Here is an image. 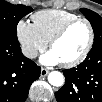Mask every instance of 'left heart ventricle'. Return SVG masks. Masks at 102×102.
<instances>
[{
  "label": "left heart ventricle",
  "mask_w": 102,
  "mask_h": 102,
  "mask_svg": "<svg viewBox=\"0 0 102 102\" xmlns=\"http://www.w3.org/2000/svg\"><path fill=\"white\" fill-rule=\"evenodd\" d=\"M89 38V30L84 23H77L51 49L58 60L69 62L76 59L84 50Z\"/></svg>",
  "instance_id": "1"
}]
</instances>
